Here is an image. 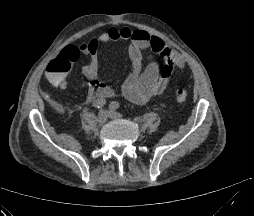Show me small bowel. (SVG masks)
<instances>
[{"label":"small bowel","instance_id":"small-bowel-1","mask_svg":"<svg viewBox=\"0 0 254 216\" xmlns=\"http://www.w3.org/2000/svg\"><path fill=\"white\" fill-rule=\"evenodd\" d=\"M128 41V55L131 61V72L121 85V94L129 101L137 104L147 102L151 97L163 93L169 83L174 67L185 68V60L175 50L170 48L161 38L151 35L142 29L129 27H112L101 33L97 38L76 47L73 45L63 49L61 57L69 61L78 54L88 57L89 61L82 67V73L90 80L88 98L91 101L113 98L116 91L97 79L98 74V46L99 43ZM150 49L154 55L164 59V66L149 58L146 66L143 63V51ZM48 78V74H47ZM50 84L59 89L67 87V73L58 80L48 78Z\"/></svg>","mask_w":254,"mask_h":216}]
</instances>
